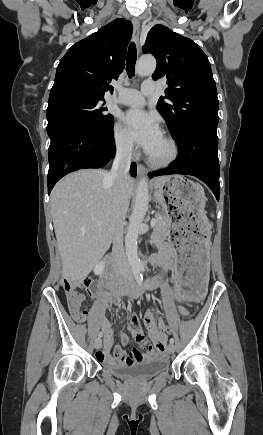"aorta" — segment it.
Returning <instances> with one entry per match:
<instances>
[{"instance_id": "aorta-1", "label": "aorta", "mask_w": 263, "mask_h": 435, "mask_svg": "<svg viewBox=\"0 0 263 435\" xmlns=\"http://www.w3.org/2000/svg\"><path fill=\"white\" fill-rule=\"evenodd\" d=\"M156 68V60L153 56H142L136 66V72L140 76L151 75ZM149 190L148 182L142 178L137 186L136 198L133 212L130 217V222L127 227L125 236L126 256L134 273H139L142 269V263L138 257V235L145 214L148 210Z\"/></svg>"}]
</instances>
